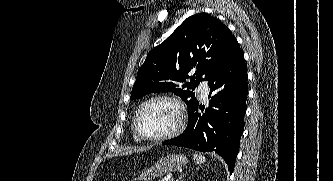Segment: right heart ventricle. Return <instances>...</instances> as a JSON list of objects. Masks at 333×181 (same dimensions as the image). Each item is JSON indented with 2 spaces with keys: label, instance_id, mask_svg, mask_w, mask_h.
I'll list each match as a JSON object with an SVG mask.
<instances>
[{
  "label": "right heart ventricle",
  "instance_id": "right-heart-ventricle-1",
  "mask_svg": "<svg viewBox=\"0 0 333 181\" xmlns=\"http://www.w3.org/2000/svg\"><path fill=\"white\" fill-rule=\"evenodd\" d=\"M133 137L136 141H139L140 139L133 133Z\"/></svg>",
  "mask_w": 333,
  "mask_h": 181
}]
</instances>
